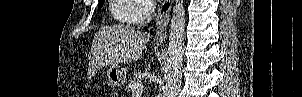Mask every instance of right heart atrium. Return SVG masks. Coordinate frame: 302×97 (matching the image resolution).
Instances as JSON below:
<instances>
[{"mask_svg": "<svg viewBox=\"0 0 302 97\" xmlns=\"http://www.w3.org/2000/svg\"><path fill=\"white\" fill-rule=\"evenodd\" d=\"M152 5L147 0H138L134 21L136 24H143L151 17Z\"/></svg>", "mask_w": 302, "mask_h": 97, "instance_id": "right-heart-atrium-1", "label": "right heart atrium"}]
</instances>
